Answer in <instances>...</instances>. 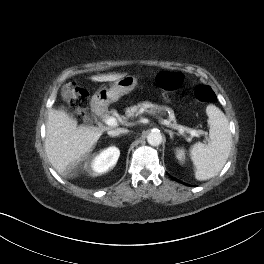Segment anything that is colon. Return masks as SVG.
I'll return each mask as SVG.
<instances>
[{
  "mask_svg": "<svg viewBox=\"0 0 264 264\" xmlns=\"http://www.w3.org/2000/svg\"><path fill=\"white\" fill-rule=\"evenodd\" d=\"M184 75L180 72H160L156 77L157 85L163 90L183 95ZM71 107L80 117L85 116V110L88 104V93L73 85L70 88ZM194 97L198 102L210 103L215 100L213 90L207 85H197L194 90Z\"/></svg>",
  "mask_w": 264,
  "mask_h": 264,
  "instance_id": "5ec220e1",
  "label": "colon"
}]
</instances>
